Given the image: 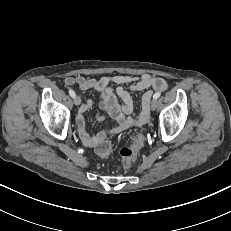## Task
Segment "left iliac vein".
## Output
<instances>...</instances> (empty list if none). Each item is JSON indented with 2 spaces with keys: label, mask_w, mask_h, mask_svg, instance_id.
<instances>
[{
  "label": "left iliac vein",
  "mask_w": 231,
  "mask_h": 231,
  "mask_svg": "<svg viewBox=\"0 0 231 231\" xmlns=\"http://www.w3.org/2000/svg\"><path fill=\"white\" fill-rule=\"evenodd\" d=\"M151 110H155L157 107V99H152L151 104H150Z\"/></svg>",
  "instance_id": "obj_1"
}]
</instances>
